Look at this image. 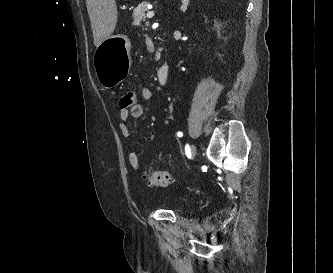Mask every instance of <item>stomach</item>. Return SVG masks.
I'll list each match as a JSON object with an SVG mask.
<instances>
[{"label":"stomach","instance_id":"0dacf381","mask_svg":"<svg viewBox=\"0 0 333 273\" xmlns=\"http://www.w3.org/2000/svg\"><path fill=\"white\" fill-rule=\"evenodd\" d=\"M131 43L126 35L116 34L106 38L96 49L93 62L96 79L105 88L117 86L130 70Z\"/></svg>","mask_w":333,"mask_h":273}]
</instances>
